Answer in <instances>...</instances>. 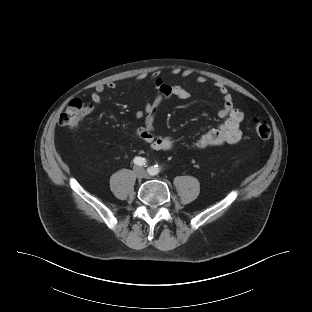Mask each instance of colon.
I'll list each match as a JSON object with an SVG mask.
<instances>
[{"label":"colon","mask_w":312,"mask_h":312,"mask_svg":"<svg viewBox=\"0 0 312 312\" xmlns=\"http://www.w3.org/2000/svg\"><path fill=\"white\" fill-rule=\"evenodd\" d=\"M88 113V106L79 99L72 100L59 118V124L68 129H76ZM256 135L263 140L271 137V128L267 121L255 118L253 120Z\"/></svg>","instance_id":"obj_1"}]
</instances>
